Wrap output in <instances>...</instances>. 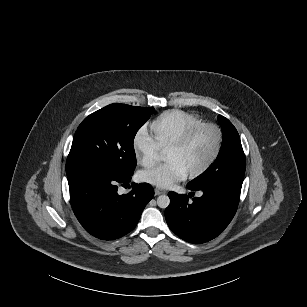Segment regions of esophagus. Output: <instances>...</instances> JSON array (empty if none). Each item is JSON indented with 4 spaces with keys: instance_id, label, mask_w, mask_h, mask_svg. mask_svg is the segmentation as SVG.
I'll return each instance as SVG.
<instances>
[{
    "instance_id": "esophagus-1",
    "label": "esophagus",
    "mask_w": 307,
    "mask_h": 307,
    "mask_svg": "<svg viewBox=\"0 0 307 307\" xmlns=\"http://www.w3.org/2000/svg\"><path fill=\"white\" fill-rule=\"evenodd\" d=\"M166 192L163 191V190H160V189H155V196H158V195H162V194H165Z\"/></svg>"
}]
</instances>
